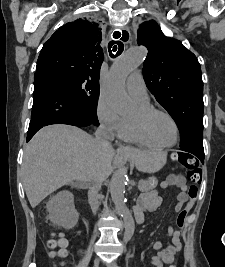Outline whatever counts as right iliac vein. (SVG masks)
Masks as SVG:
<instances>
[{"mask_svg":"<svg viewBox=\"0 0 225 267\" xmlns=\"http://www.w3.org/2000/svg\"><path fill=\"white\" fill-rule=\"evenodd\" d=\"M99 264H100V258L97 257V258L94 260L93 267H99Z\"/></svg>","mask_w":225,"mask_h":267,"instance_id":"1","label":"right iliac vein"}]
</instances>
